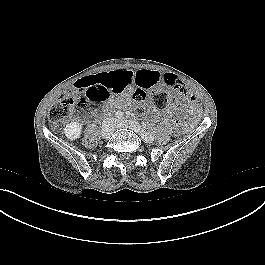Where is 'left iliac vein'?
Returning a JSON list of instances; mask_svg holds the SVG:
<instances>
[{
	"label": "left iliac vein",
	"mask_w": 265,
	"mask_h": 265,
	"mask_svg": "<svg viewBox=\"0 0 265 265\" xmlns=\"http://www.w3.org/2000/svg\"><path fill=\"white\" fill-rule=\"evenodd\" d=\"M114 126L116 128H128V129H131L133 130L134 132L138 133L139 135L142 136V128L141 126L135 122V121H132V120H128V121H124V120H118V121H115L114 123ZM144 141L146 143H152L154 138H151V139H145L143 138Z\"/></svg>",
	"instance_id": "1"
}]
</instances>
